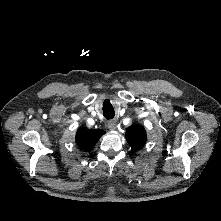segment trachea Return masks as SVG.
Instances as JSON below:
<instances>
[{
	"mask_svg": "<svg viewBox=\"0 0 221 221\" xmlns=\"http://www.w3.org/2000/svg\"><path fill=\"white\" fill-rule=\"evenodd\" d=\"M115 115L114 109L112 106L103 107V116L107 119H113Z\"/></svg>",
	"mask_w": 221,
	"mask_h": 221,
	"instance_id": "1",
	"label": "trachea"
}]
</instances>
